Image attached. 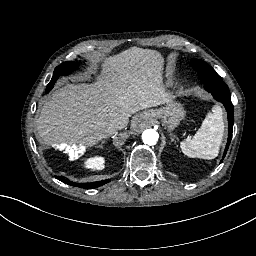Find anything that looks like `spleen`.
I'll return each mask as SVG.
<instances>
[{"instance_id":"spleen-1","label":"spleen","mask_w":256,"mask_h":256,"mask_svg":"<svg viewBox=\"0 0 256 256\" xmlns=\"http://www.w3.org/2000/svg\"><path fill=\"white\" fill-rule=\"evenodd\" d=\"M223 131L222 109L214 106L213 110L206 114L195 135L181 142L182 153L189 158L215 159L222 142Z\"/></svg>"}]
</instances>
